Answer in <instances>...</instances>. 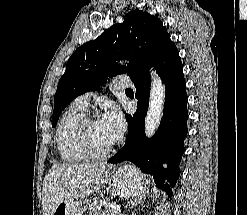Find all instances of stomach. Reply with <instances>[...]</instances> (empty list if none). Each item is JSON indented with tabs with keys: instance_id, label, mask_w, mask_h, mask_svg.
Wrapping results in <instances>:
<instances>
[{
	"instance_id": "0dacf381",
	"label": "stomach",
	"mask_w": 247,
	"mask_h": 215,
	"mask_svg": "<svg viewBox=\"0 0 247 215\" xmlns=\"http://www.w3.org/2000/svg\"><path fill=\"white\" fill-rule=\"evenodd\" d=\"M113 191L121 198H133L144 194L146 185L133 166H124L114 171L108 178ZM80 201L63 200L58 203L52 215H83Z\"/></svg>"
}]
</instances>
